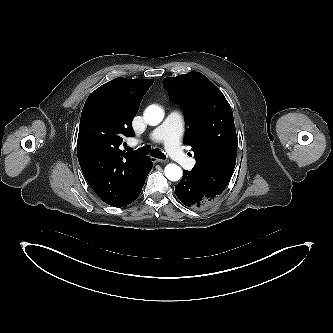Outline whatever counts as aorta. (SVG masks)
<instances>
[{"instance_id": "1", "label": "aorta", "mask_w": 333, "mask_h": 333, "mask_svg": "<svg viewBox=\"0 0 333 333\" xmlns=\"http://www.w3.org/2000/svg\"><path fill=\"white\" fill-rule=\"evenodd\" d=\"M144 116L148 124L155 126L163 120L164 112L160 107L151 105L145 110ZM165 176L170 181H178L182 177V169L178 165L168 164L165 167Z\"/></svg>"}]
</instances>
